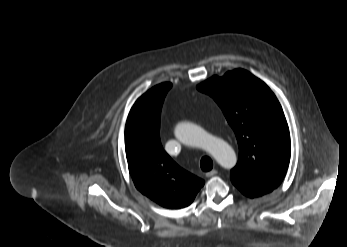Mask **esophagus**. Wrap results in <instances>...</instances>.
Listing matches in <instances>:
<instances>
[{
	"instance_id": "esophagus-1",
	"label": "esophagus",
	"mask_w": 347,
	"mask_h": 247,
	"mask_svg": "<svg viewBox=\"0 0 347 247\" xmlns=\"http://www.w3.org/2000/svg\"><path fill=\"white\" fill-rule=\"evenodd\" d=\"M217 173H218L217 170L213 169V170L206 173V177H212V176L216 175Z\"/></svg>"
}]
</instances>
